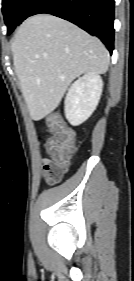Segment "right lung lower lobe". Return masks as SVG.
<instances>
[{"label":"right lung lower lobe","mask_w":134,"mask_h":281,"mask_svg":"<svg viewBox=\"0 0 134 281\" xmlns=\"http://www.w3.org/2000/svg\"><path fill=\"white\" fill-rule=\"evenodd\" d=\"M40 13L52 14L76 24L100 38L112 53L114 0H31L21 20Z\"/></svg>","instance_id":"right-lung-lower-lobe-1"}]
</instances>
